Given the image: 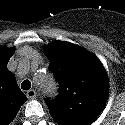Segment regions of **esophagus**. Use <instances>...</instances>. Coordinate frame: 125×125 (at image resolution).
Returning a JSON list of instances; mask_svg holds the SVG:
<instances>
[{
  "instance_id": "obj_1",
  "label": "esophagus",
  "mask_w": 125,
  "mask_h": 125,
  "mask_svg": "<svg viewBox=\"0 0 125 125\" xmlns=\"http://www.w3.org/2000/svg\"><path fill=\"white\" fill-rule=\"evenodd\" d=\"M26 96L29 98V99H35L36 98V91L31 89V90H28L26 92Z\"/></svg>"
}]
</instances>
